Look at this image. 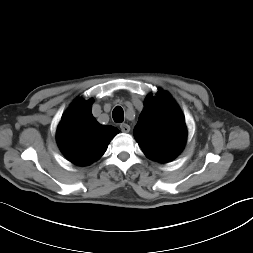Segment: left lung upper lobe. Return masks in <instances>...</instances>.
<instances>
[{"instance_id":"left-lung-upper-lobe-1","label":"left lung upper lobe","mask_w":253,"mask_h":253,"mask_svg":"<svg viewBox=\"0 0 253 253\" xmlns=\"http://www.w3.org/2000/svg\"><path fill=\"white\" fill-rule=\"evenodd\" d=\"M134 137L144 154L160 163L170 162L182 152L187 138L185 119L167 92L159 90L156 97L147 96Z\"/></svg>"}]
</instances>
